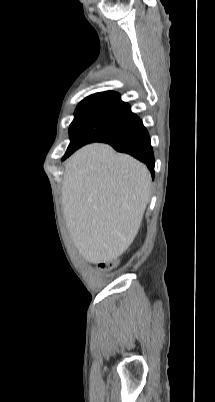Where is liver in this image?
<instances>
[{"label":"liver","instance_id":"obj_1","mask_svg":"<svg viewBox=\"0 0 215 402\" xmlns=\"http://www.w3.org/2000/svg\"><path fill=\"white\" fill-rule=\"evenodd\" d=\"M151 195L147 167L111 146L92 143L65 166L62 208L70 236L84 259L106 263L131 245Z\"/></svg>","mask_w":215,"mask_h":402}]
</instances>
